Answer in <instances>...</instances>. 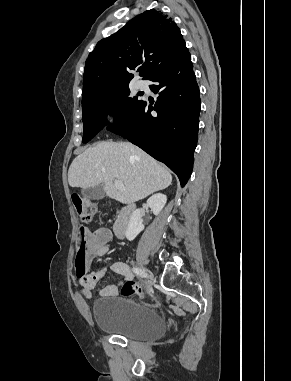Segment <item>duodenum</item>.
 <instances>
[{
    "mask_svg": "<svg viewBox=\"0 0 291 381\" xmlns=\"http://www.w3.org/2000/svg\"><path fill=\"white\" fill-rule=\"evenodd\" d=\"M134 208V204H127L118 211L113 224V232L117 237H124Z\"/></svg>",
    "mask_w": 291,
    "mask_h": 381,
    "instance_id": "duodenum-1",
    "label": "duodenum"
}]
</instances>
